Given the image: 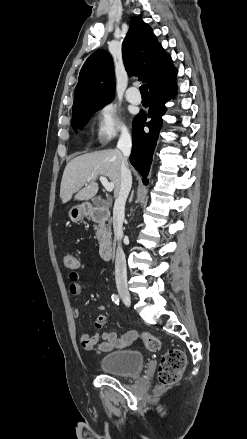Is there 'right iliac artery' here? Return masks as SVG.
Segmentation results:
<instances>
[{"label":"right iliac artery","mask_w":247,"mask_h":439,"mask_svg":"<svg viewBox=\"0 0 247 439\" xmlns=\"http://www.w3.org/2000/svg\"><path fill=\"white\" fill-rule=\"evenodd\" d=\"M112 301H113L115 304H119L120 299H119L118 295L113 294V295H112Z\"/></svg>","instance_id":"1"}]
</instances>
